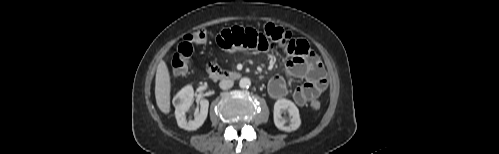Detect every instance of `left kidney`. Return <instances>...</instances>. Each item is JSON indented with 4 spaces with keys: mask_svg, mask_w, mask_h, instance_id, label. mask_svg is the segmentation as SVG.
I'll list each match as a JSON object with an SVG mask.
<instances>
[{
    "mask_svg": "<svg viewBox=\"0 0 499 154\" xmlns=\"http://www.w3.org/2000/svg\"><path fill=\"white\" fill-rule=\"evenodd\" d=\"M286 112L289 114V119L282 117V114ZM273 116L275 126L282 131H295L301 125L299 109L287 99H279L275 102Z\"/></svg>",
    "mask_w": 499,
    "mask_h": 154,
    "instance_id": "left-kidney-1",
    "label": "left kidney"
}]
</instances>
